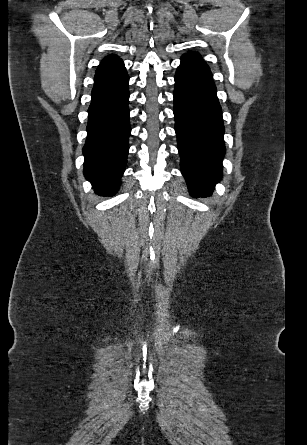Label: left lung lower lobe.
<instances>
[{
    "label": "left lung lower lobe",
    "mask_w": 307,
    "mask_h": 445,
    "mask_svg": "<svg viewBox=\"0 0 307 445\" xmlns=\"http://www.w3.org/2000/svg\"><path fill=\"white\" fill-rule=\"evenodd\" d=\"M173 96L181 170L189 192L210 196L221 178L224 126L212 74L203 60L182 56Z\"/></svg>",
    "instance_id": "obj_1"
}]
</instances>
